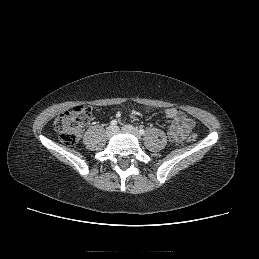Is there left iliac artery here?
Wrapping results in <instances>:
<instances>
[{
    "label": "left iliac artery",
    "instance_id": "obj_1",
    "mask_svg": "<svg viewBox=\"0 0 259 259\" xmlns=\"http://www.w3.org/2000/svg\"><path fill=\"white\" fill-rule=\"evenodd\" d=\"M139 134H140V135H144V134H145V131H144L143 129H140V130H139Z\"/></svg>",
    "mask_w": 259,
    "mask_h": 259
}]
</instances>
